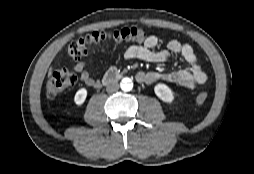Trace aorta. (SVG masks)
I'll return each instance as SVG.
<instances>
[{
	"instance_id": "obj_1",
	"label": "aorta",
	"mask_w": 254,
	"mask_h": 174,
	"mask_svg": "<svg viewBox=\"0 0 254 174\" xmlns=\"http://www.w3.org/2000/svg\"><path fill=\"white\" fill-rule=\"evenodd\" d=\"M120 87L123 91H130L133 88V83L129 78H123Z\"/></svg>"
}]
</instances>
